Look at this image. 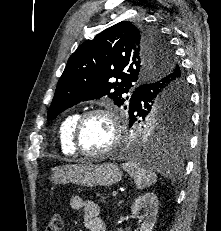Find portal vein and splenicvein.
<instances>
[{
    "label": "portal vein and splenic vein",
    "mask_w": 221,
    "mask_h": 231,
    "mask_svg": "<svg viewBox=\"0 0 221 231\" xmlns=\"http://www.w3.org/2000/svg\"><path fill=\"white\" fill-rule=\"evenodd\" d=\"M117 194H118V192H117V191H113V192H112V196H113V197H116V196H117Z\"/></svg>",
    "instance_id": "portal-vein-and-splenic-vein-1"
}]
</instances>
